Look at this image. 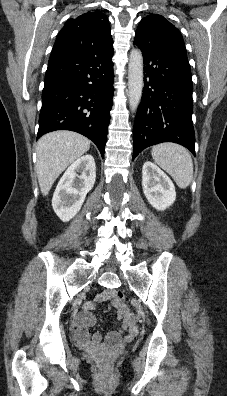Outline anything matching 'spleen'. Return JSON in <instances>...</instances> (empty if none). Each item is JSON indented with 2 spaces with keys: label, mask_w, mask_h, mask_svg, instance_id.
Returning <instances> with one entry per match:
<instances>
[{
  "label": "spleen",
  "mask_w": 227,
  "mask_h": 396,
  "mask_svg": "<svg viewBox=\"0 0 227 396\" xmlns=\"http://www.w3.org/2000/svg\"><path fill=\"white\" fill-rule=\"evenodd\" d=\"M151 154L180 188L189 186L193 179V161L188 150L178 144L162 143L154 146Z\"/></svg>",
  "instance_id": "spleen-1"
}]
</instances>
